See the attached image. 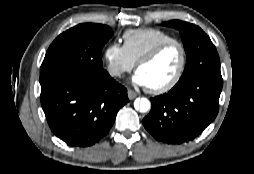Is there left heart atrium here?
Wrapping results in <instances>:
<instances>
[{
  "mask_svg": "<svg viewBox=\"0 0 254 174\" xmlns=\"http://www.w3.org/2000/svg\"><path fill=\"white\" fill-rule=\"evenodd\" d=\"M132 81L134 84L142 87H148L147 81L145 77L137 70L136 73L132 77Z\"/></svg>",
  "mask_w": 254,
  "mask_h": 174,
  "instance_id": "39dd6f15",
  "label": "left heart atrium"
}]
</instances>
